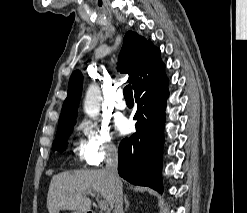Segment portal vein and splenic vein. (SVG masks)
Returning a JSON list of instances; mask_svg holds the SVG:
<instances>
[{
  "mask_svg": "<svg viewBox=\"0 0 247 213\" xmlns=\"http://www.w3.org/2000/svg\"><path fill=\"white\" fill-rule=\"evenodd\" d=\"M88 194H89L90 196L96 197V199H98V196H96V194L91 193V192H89ZM97 201H98L99 208H100L102 211L108 210V203H107L105 200H97Z\"/></svg>",
  "mask_w": 247,
  "mask_h": 213,
  "instance_id": "obj_1",
  "label": "portal vein and splenic vein"
}]
</instances>
